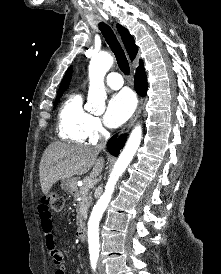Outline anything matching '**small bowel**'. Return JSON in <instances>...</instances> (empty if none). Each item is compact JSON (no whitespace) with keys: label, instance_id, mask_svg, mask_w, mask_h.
Here are the masks:
<instances>
[{"label":"small bowel","instance_id":"1","mask_svg":"<svg viewBox=\"0 0 221 274\" xmlns=\"http://www.w3.org/2000/svg\"><path fill=\"white\" fill-rule=\"evenodd\" d=\"M38 214L46 248L52 258L53 263L58 266L55 274H67L63 254L56 247L55 243L53 233V214L51 213L49 207L43 203L38 206Z\"/></svg>","mask_w":221,"mask_h":274}]
</instances>
